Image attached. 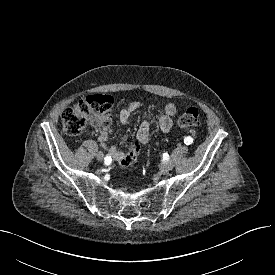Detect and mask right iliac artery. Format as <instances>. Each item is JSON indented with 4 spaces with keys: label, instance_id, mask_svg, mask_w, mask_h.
Here are the masks:
<instances>
[{
    "label": "right iliac artery",
    "instance_id": "1",
    "mask_svg": "<svg viewBox=\"0 0 275 275\" xmlns=\"http://www.w3.org/2000/svg\"><path fill=\"white\" fill-rule=\"evenodd\" d=\"M104 163L106 164V165H110L111 164V162H112V158H111V156H109V155H107L105 158H104Z\"/></svg>",
    "mask_w": 275,
    "mask_h": 275
}]
</instances>
